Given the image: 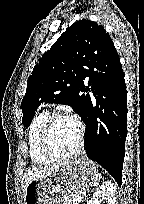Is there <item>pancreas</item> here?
I'll list each match as a JSON object with an SVG mask.
<instances>
[{
  "mask_svg": "<svg viewBox=\"0 0 144 204\" xmlns=\"http://www.w3.org/2000/svg\"><path fill=\"white\" fill-rule=\"evenodd\" d=\"M78 197H80L79 194H72L71 196L65 199L66 200L65 204H77L76 200Z\"/></svg>",
  "mask_w": 144,
  "mask_h": 204,
  "instance_id": "pancreas-1",
  "label": "pancreas"
}]
</instances>
